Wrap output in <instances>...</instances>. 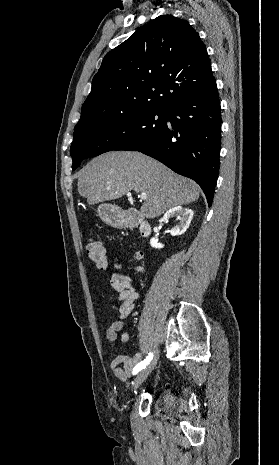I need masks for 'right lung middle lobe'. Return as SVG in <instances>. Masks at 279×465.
<instances>
[{"label":"right lung middle lobe","mask_w":279,"mask_h":465,"mask_svg":"<svg viewBox=\"0 0 279 465\" xmlns=\"http://www.w3.org/2000/svg\"><path fill=\"white\" fill-rule=\"evenodd\" d=\"M166 110L144 109L97 126L74 128L70 148L75 170L85 158L152 142L164 130Z\"/></svg>","instance_id":"right-lung-middle-lobe-1"}]
</instances>
